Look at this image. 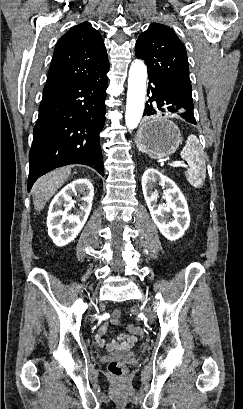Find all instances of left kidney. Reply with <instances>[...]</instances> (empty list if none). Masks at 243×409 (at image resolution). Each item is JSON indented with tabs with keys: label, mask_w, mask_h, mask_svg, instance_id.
I'll return each instance as SVG.
<instances>
[{
	"label": "left kidney",
	"mask_w": 243,
	"mask_h": 409,
	"mask_svg": "<svg viewBox=\"0 0 243 409\" xmlns=\"http://www.w3.org/2000/svg\"><path fill=\"white\" fill-rule=\"evenodd\" d=\"M157 183L165 188V205L157 202L158 193L153 191ZM142 190L151 217L162 235L171 241L179 239L189 227L190 215L187 201L177 185L158 170L150 168L142 176ZM171 211L172 218L167 216Z\"/></svg>",
	"instance_id": "5707ae66"
}]
</instances>
